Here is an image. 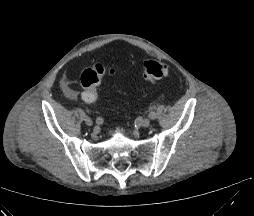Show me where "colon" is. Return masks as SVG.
<instances>
[{"label":"colon","mask_w":254,"mask_h":216,"mask_svg":"<svg viewBox=\"0 0 254 216\" xmlns=\"http://www.w3.org/2000/svg\"><path fill=\"white\" fill-rule=\"evenodd\" d=\"M143 67V76L151 83H155L158 80L168 77L170 74L168 65L156 60H146ZM115 73L116 71L114 68L106 69L101 65H96L95 67L84 70L80 76V82L84 89V98L91 102L96 100L98 97L97 87L100 84L101 79L105 74L113 76Z\"/></svg>","instance_id":"5ec220e1"}]
</instances>
